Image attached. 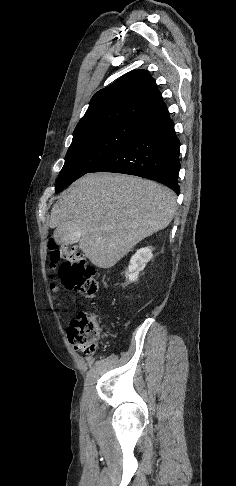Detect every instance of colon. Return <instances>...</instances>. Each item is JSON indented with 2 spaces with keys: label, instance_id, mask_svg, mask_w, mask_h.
<instances>
[{
  "label": "colon",
  "instance_id": "1",
  "mask_svg": "<svg viewBox=\"0 0 236 486\" xmlns=\"http://www.w3.org/2000/svg\"><path fill=\"white\" fill-rule=\"evenodd\" d=\"M49 260L51 268L60 263L59 277L66 288L85 298H92L96 294L95 269L88 264L84 254L76 247L50 243ZM52 288H55L54 284ZM67 334L76 350L91 354L97 349L103 331L98 316L83 310L71 321Z\"/></svg>",
  "mask_w": 236,
  "mask_h": 486
}]
</instances>
